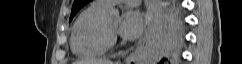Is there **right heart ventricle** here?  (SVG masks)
<instances>
[{"label": "right heart ventricle", "mask_w": 242, "mask_h": 64, "mask_svg": "<svg viewBox=\"0 0 242 64\" xmlns=\"http://www.w3.org/2000/svg\"><path fill=\"white\" fill-rule=\"evenodd\" d=\"M107 8L92 3L74 21L70 31V48L80 58H94L101 55L106 47L100 45L93 32L104 18Z\"/></svg>", "instance_id": "1"}]
</instances>
